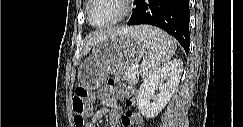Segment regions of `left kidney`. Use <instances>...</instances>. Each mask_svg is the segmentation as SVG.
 <instances>
[{"instance_id": "obj_1", "label": "left kidney", "mask_w": 243, "mask_h": 127, "mask_svg": "<svg viewBox=\"0 0 243 127\" xmlns=\"http://www.w3.org/2000/svg\"><path fill=\"white\" fill-rule=\"evenodd\" d=\"M183 62L179 59L168 62L141 84L137 107L146 118H154L167 105L179 84Z\"/></svg>"}]
</instances>
